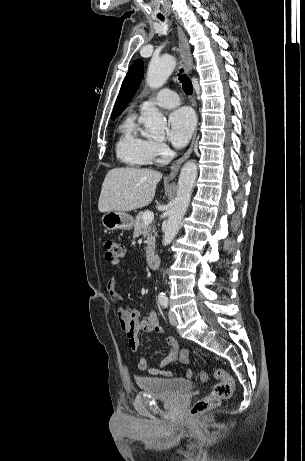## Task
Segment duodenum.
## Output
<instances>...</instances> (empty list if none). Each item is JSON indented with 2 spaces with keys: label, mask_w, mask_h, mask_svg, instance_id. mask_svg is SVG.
<instances>
[{
  "label": "duodenum",
  "mask_w": 305,
  "mask_h": 461,
  "mask_svg": "<svg viewBox=\"0 0 305 461\" xmlns=\"http://www.w3.org/2000/svg\"><path fill=\"white\" fill-rule=\"evenodd\" d=\"M147 266L150 269H155L159 264V256L153 250H150L146 256Z\"/></svg>",
  "instance_id": "410a0bca"
}]
</instances>
